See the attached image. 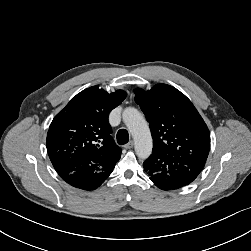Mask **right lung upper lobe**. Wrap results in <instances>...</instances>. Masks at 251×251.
Returning a JSON list of instances; mask_svg holds the SVG:
<instances>
[{"label":"right lung upper lobe","instance_id":"right-lung-upper-lobe-1","mask_svg":"<svg viewBox=\"0 0 251 251\" xmlns=\"http://www.w3.org/2000/svg\"><path fill=\"white\" fill-rule=\"evenodd\" d=\"M125 98L123 90L109 94L92 86L72 98L54 117L47 134V151L50 159L61 153L66 156L63 175L87 164H97L99 172H112L122 151L111 136L108 116Z\"/></svg>","mask_w":251,"mask_h":251}]
</instances>
